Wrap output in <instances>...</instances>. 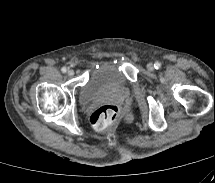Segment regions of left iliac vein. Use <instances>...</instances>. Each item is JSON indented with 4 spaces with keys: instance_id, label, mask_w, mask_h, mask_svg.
<instances>
[{
    "instance_id": "left-iliac-vein-1",
    "label": "left iliac vein",
    "mask_w": 215,
    "mask_h": 183,
    "mask_svg": "<svg viewBox=\"0 0 215 183\" xmlns=\"http://www.w3.org/2000/svg\"><path fill=\"white\" fill-rule=\"evenodd\" d=\"M147 69L149 71H153L154 70V65L152 63L147 64Z\"/></svg>"
}]
</instances>
